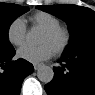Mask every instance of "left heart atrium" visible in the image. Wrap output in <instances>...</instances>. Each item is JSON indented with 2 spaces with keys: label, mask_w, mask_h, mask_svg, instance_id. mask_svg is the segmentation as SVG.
Returning <instances> with one entry per match:
<instances>
[{
  "label": "left heart atrium",
  "mask_w": 95,
  "mask_h": 95,
  "mask_svg": "<svg viewBox=\"0 0 95 95\" xmlns=\"http://www.w3.org/2000/svg\"><path fill=\"white\" fill-rule=\"evenodd\" d=\"M53 54L52 48L44 43L38 46L25 45L18 50V56L27 61L37 63L50 58Z\"/></svg>",
  "instance_id": "left-heart-atrium-1"
}]
</instances>
